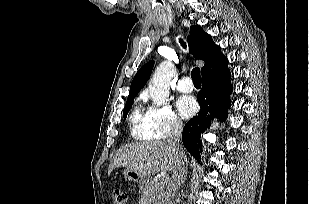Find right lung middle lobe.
Returning a JSON list of instances; mask_svg holds the SVG:
<instances>
[{
  "label": "right lung middle lobe",
  "instance_id": "right-lung-middle-lobe-1",
  "mask_svg": "<svg viewBox=\"0 0 309 204\" xmlns=\"http://www.w3.org/2000/svg\"><path fill=\"white\" fill-rule=\"evenodd\" d=\"M133 102H134L133 98L127 100L126 105H125V108H124V111H123V117H124V118L127 117V114H128V112H129V110H130V108H131Z\"/></svg>",
  "mask_w": 309,
  "mask_h": 204
}]
</instances>
